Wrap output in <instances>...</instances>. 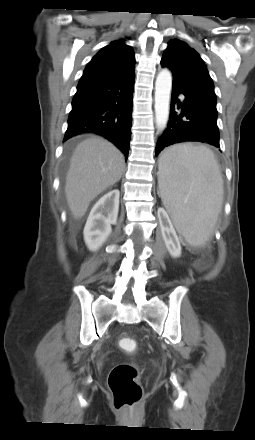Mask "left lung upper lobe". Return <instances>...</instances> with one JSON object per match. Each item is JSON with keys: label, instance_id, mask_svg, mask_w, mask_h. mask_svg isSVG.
<instances>
[{"label": "left lung upper lobe", "instance_id": "left-lung-upper-lobe-1", "mask_svg": "<svg viewBox=\"0 0 255 440\" xmlns=\"http://www.w3.org/2000/svg\"><path fill=\"white\" fill-rule=\"evenodd\" d=\"M173 74V85L190 98L215 106L214 84L200 55L185 42L173 39L161 59Z\"/></svg>", "mask_w": 255, "mask_h": 440}]
</instances>
